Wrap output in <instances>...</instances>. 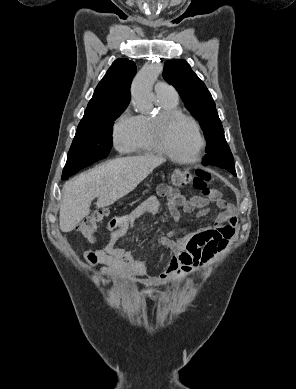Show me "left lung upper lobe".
Instances as JSON below:
<instances>
[{"instance_id":"obj_1","label":"left lung upper lobe","mask_w":296,"mask_h":389,"mask_svg":"<svg viewBox=\"0 0 296 389\" xmlns=\"http://www.w3.org/2000/svg\"><path fill=\"white\" fill-rule=\"evenodd\" d=\"M163 78L180 94L184 104L201 125L207 140L203 165L211 164L210 153L213 148L224 142L225 136L213 98L197 75L192 71L185 60H168L165 62ZM217 166L227 169L232 163H223L215 160Z\"/></svg>"}]
</instances>
